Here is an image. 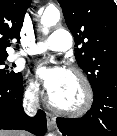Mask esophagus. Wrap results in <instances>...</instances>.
I'll return each mask as SVG.
<instances>
[{"label":"esophagus","mask_w":117,"mask_h":136,"mask_svg":"<svg viewBox=\"0 0 117 136\" xmlns=\"http://www.w3.org/2000/svg\"><path fill=\"white\" fill-rule=\"evenodd\" d=\"M46 117H47L48 129L52 130L54 128V126H55V116L52 113L47 112Z\"/></svg>","instance_id":"1"}]
</instances>
